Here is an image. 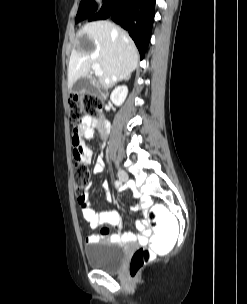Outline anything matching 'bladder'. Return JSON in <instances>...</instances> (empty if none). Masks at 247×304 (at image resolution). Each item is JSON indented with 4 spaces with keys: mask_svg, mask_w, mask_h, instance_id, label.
I'll list each match as a JSON object with an SVG mask.
<instances>
[{
    "mask_svg": "<svg viewBox=\"0 0 247 304\" xmlns=\"http://www.w3.org/2000/svg\"><path fill=\"white\" fill-rule=\"evenodd\" d=\"M88 265L104 272H116L122 266L126 254L125 245L109 239H99L85 246Z\"/></svg>",
    "mask_w": 247,
    "mask_h": 304,
    "instance_id": "1",
    "label": "bladder"
}]
</instances>
